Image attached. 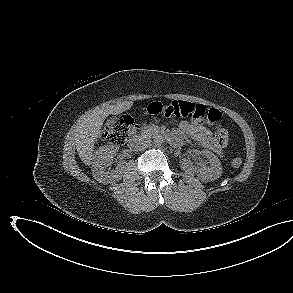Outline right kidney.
Instances as JSON below:
<instances>
[{
    "instance_id": "1",
    "label": "right kidney",
    "mask_w": 293,
    "mask_h": 293,
    "mask_svg": "<svg viewBox=\"0 0 293 293\" xmlns=\"http://www.w3.org/2000/svg\"><path fill=\"white\" fill-rule=\"evenodd\" d=\"M117 152L118 147L114 144L104 145L95 152L92 172L99 183L108 184L120 179L125 162L119 161L115 169L110 167Z\"/></svg>"
}]
</instances>
